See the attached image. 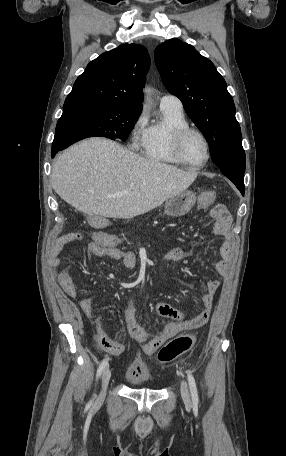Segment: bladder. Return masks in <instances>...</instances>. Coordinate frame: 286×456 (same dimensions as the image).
Wrapping results in <instances>:
<instances>
[{"label":"bladder","instance_id":"bladder-1","mask_svg":"<svg viewBox=\"0 0 286 456\" xmlns=\"http://www.w3.org/2000/svg\"><path fill=\"white\" fill-rule=\"evenodd\" d=\"M125 379L130 387H147L150 376L146 366L141 362H132L125 374Z\"/></svg>","mask_w":286,"mask_h":456}]
</instances>
